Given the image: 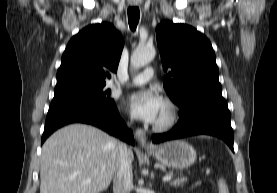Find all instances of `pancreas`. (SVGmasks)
Instances as JSON below:
<instances>
[{
    "mask_svg": "<svg viewBox=\"0 0 277 193\" xmlns=\"http://www.w3.org/2000/svg\"><path fill=\"white\" fill-rule=\"evenodd\" d=\"M167 176H173V173L169 172V173H167ZM186 180L187 179L184 177H178L175 180L170 181V185L175 186V187L183 186V184L186 182Z\"/></svg>",
    "mask_w": 277,
    "mask_h": 193,
    "instance_id": "cf45deb5",
    "label": "pancreas"
}]
</instances>
